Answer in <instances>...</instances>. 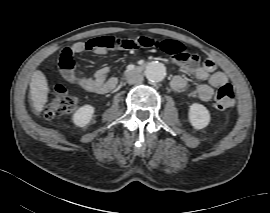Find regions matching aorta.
<instances>
[{"label":"aorta","instance_id":"762f6f07","mask_svg":"<svg viewBox=\"0 0 270 213\" xmlns=\"http://www.w3.org/2000/svg\"><path fill=\"white\" fill-rule=\"evenodd\" d=\"M145 75L151 82H161L166 76L165 66L160 62H152L147 65Z\"/></svg>","mask_w":270,"mask_h":213}]
</instances>
